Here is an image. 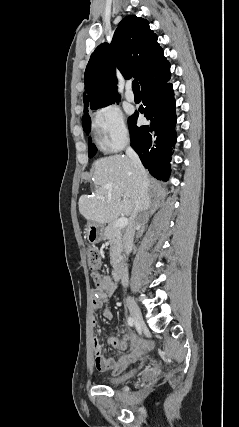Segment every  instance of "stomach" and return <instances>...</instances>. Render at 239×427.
<instances>
[{
  "label": "stomach",
  "instance_id": "1",
  "mask_svg": "<svg viewBox=\"0 0 239 427\" xmlns=\"http://www.w3.org/2000/svg\"><path fill=\"white\" fill-rule=\"evenodd\" d=\"M86 236L87 240L92 244L101 242L106 238L104 225L97 222H88Z\"/></svg>",
  "mask_w": 239,
  "mask_h": 427
}]
</instances>
